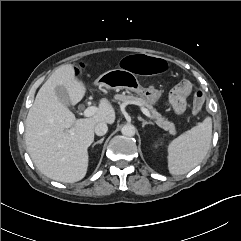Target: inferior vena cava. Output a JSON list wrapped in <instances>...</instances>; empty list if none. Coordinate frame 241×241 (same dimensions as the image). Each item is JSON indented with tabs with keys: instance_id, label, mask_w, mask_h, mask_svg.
Instances as JSON below:
<instances>
[{
	"instance_id": "602c4592",
	"label": "inferior vena cava",
	"mask_w": 241,
	"mask_h": 241,
	"mask_svg": "<svg viewBox=\"0 0 241 241\" xmlns=\"http://www.w3.org/2000/svg\"><path fill=\"white\" fill-rule=\"evenodd\" d=\"M108 127L105 122H100L95 126V133L97 136H103L107 133Z\"/></svg>"
}]
</instances>
